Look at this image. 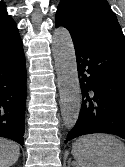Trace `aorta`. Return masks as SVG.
Listing matches in <instances>:
<instances>
[{
	"label": "aorta",
	"instance_id": "1",
	"mask_svg": "<svg viewBox=\"0 0 125 167\" xmlns=\"http://www.w3.org/2000/svg\"><path fill=\"white\" fill-rule=\"evenodd\" d=\"M52 52L60 93L61 114L66 128L75 126L81 107V91L77 73L75 49L69 31L64 27L55 29Z\"/></svg>",
	"mask_w": 125,
	"mask_h": 167
}]
</instances>
